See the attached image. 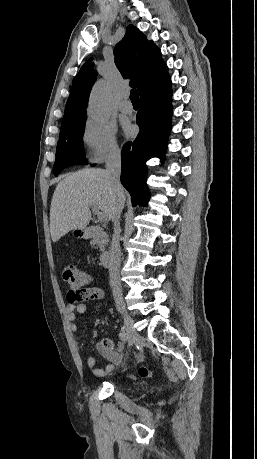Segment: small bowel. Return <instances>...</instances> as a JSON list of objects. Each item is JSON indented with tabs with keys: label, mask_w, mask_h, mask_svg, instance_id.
<instances>
[{
	"label": "small bowel",
	"mask_w": 257,
	"mask_h": 459,
	"mask_svg": "<svg viewBox=\"0 0 257 459\" xmlns=\"http://www.w3.org/2000/svg\"><path fill=\"white\" fill-rule=\"evenodd\" d=\"M89 297L86 300L76 301L77 290L71 289L67 293L68 305L66 307L67 318L69 321V329L72 332H77L79 326L76 322L77 315L85 314L87 311L86 301L101 300L104 298V291L98 287L87 288ZM96 349L102 357L110 362L106 368H99L96 359L93 356L87 358V365L94 375L103 377L112 371L115 364H119L123 360L122 351L124 343L115 341L110 337H104L96 344ZM139 358V355L136 357Z\"/></svg>",
	"instance_id": "1"
}]
</instances>
